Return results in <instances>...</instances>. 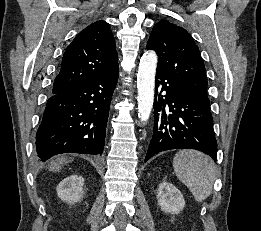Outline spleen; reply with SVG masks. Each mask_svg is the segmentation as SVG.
<instances>
[{"mask_svg":"<svg viewBox=\"0 0 261 231\" xmlns=\"http://www.w3.org/2000/svg\"><path fill=\"white\" fill-rule=\"evenodd\" d=\"M173 167L178 179L190 189L197 202H202L211 194L216 167L208 156L193 150H182L175 155Z\"/></svg>","mask_w":261,"mask_h":231,"instance_id":"obj_1","label":"spleen"}]
</instances>
